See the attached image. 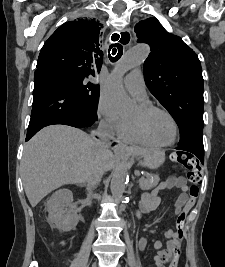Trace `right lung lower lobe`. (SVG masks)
Here are the masks:
<instances>
[{
  "mask_svg": "<svg viewBox=\"0 0 225 267\" xmlns=\"http://www.w3.org/2000/svg\"><path fill=\"white\" fill-rule=\"evenodd\" d=\"M96 120L60 76L44 69L35 71L33 104L26 141L48 125L64 124L85 128Z\"/></svg>",
  "mask_w": 225,
  "mask_h": 267,
  "instance_id": "1",
  "label": "right lung lower lobe"
}]
</instances>
